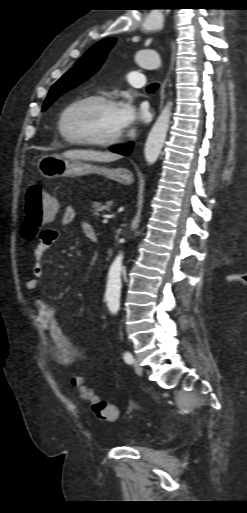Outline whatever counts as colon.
I'll return each mask as SVG.
<instances>
[{
	"label": "colon",
	"instance_id": "obj_1",
	"mask_svg": "<svg viewBox=\"0 0 247 513\" xmlns=\"http://www.w3.org/2000/svg\"><path fill=\"white\" fill-rule=\"evenodd\" d=\"M58 211L59 205L55 197L38 184L30 186L24 198L22 237L32 239L38 236L41 228L52 222ZM72 384L79 390L81 397L90 402L92 411L99 419L106 421L117 419L118 409L95 395L90 388L83 384L80 377H74Z\"/></svg>",
	"mask_w": 247,
	"mask_h": 513
}]
</instances>
